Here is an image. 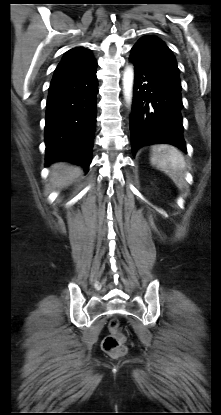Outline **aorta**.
<instances>
[{
    "label": "aorta",
    "instance_id": "762f6f07",
    "mask_svg": "<svg viewBox=\"0 0 221 415\" xmlns=\"http://www.w3.org/2000/svg\"><path fill=\"white\" fill-rule=\"evenodd\" d=\"M134 71L131 66H128L123 74V92L127 104H131L133 93Z\"/></svg>",
    "mask_w": 221,
    "mask_h": 415
}]
</instances>
